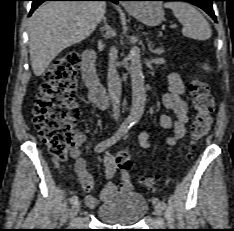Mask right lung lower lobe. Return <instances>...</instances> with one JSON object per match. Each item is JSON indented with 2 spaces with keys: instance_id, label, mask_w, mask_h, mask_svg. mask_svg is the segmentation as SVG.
Segmentation results:
<instances>
[{
  "instance_id": "1",
  "label": "right lung lower lobe",
  "mask_w": 234,
  "mask_h": 231,
  "mask_svg": "<svg viewBox=\"0 0 234 231\" xmlns=\"http://www.w3.org/2000/svg\"><path fill=\"white\" fill-rule=\"evenodd\" d=\"M32 8L30 11V15L33 13V11L44 1H94V0H32ZM97 1H111L113 3H118L119 0H97Z\"/></svg>"
}]
</instances>
